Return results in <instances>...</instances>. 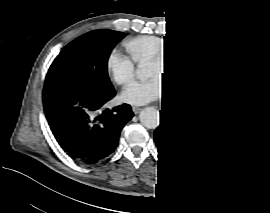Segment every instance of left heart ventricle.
<instances>
[{
    "label": "left heart ventricle",
    "mask_w": 270,
    "mask_h": 213,
    "mask_svg": "<svg viewBox=\"0 0 270 213\" xmlns=\"http://www.w3.org/2000/svg\"><path fill=\"white\" fill-rule=\"evenodd\" d=\"M150 74L151 75H158L159 74L161 76L163 74V71L158 67L152 66V67H150Z\"/></svg>",
    "instance_id": "1"
}]
</instances>
